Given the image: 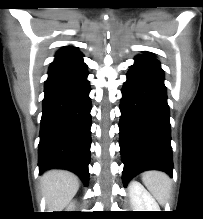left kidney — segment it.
Masks as SVG:
<instances>
[{"instance_id": "1", "label": "left kidney", "mask_w": 203, "mask_h": 219, "mask_svg": "<svg viewBox=\"0 0 203 219\" xmlns=\"http://www.w3.org/2000/svg\"><path fill=\"white\" fill-rule=\"evenodd\" d=\"M128 188L133 211H160L154 198L139 182L131 181Z\"/></svg>"}]
</instances>
